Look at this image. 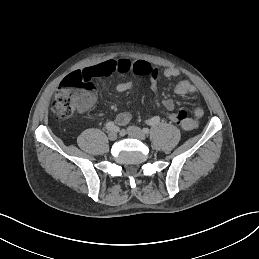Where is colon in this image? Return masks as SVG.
<instances>
[{"instance_id": "1", "label": "colon", "mask_w": 259, "mask_h": 259, "mask_svg": "<svg viewBox=\"0 0 259 259\" xmlns=\"http://www.w3.org/2000/svg\"><path fill=\"white\" fill-rule=\"evenodd\" d=\"M94 100L93 85L84 80L79 72L67 75L56 91L52 112L58 118H66L77 110L87 109ZM168 117L178 125H183L188 114L185 111L171 112Z\"/></svg>"}]
</instances>
